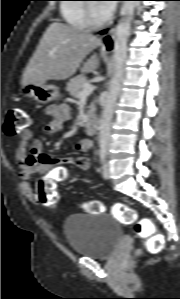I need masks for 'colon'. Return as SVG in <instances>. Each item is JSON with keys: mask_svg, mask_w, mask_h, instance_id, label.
I'll list each match as a JSON object with an SVG mask.
<instances>
[{"mask_svg": "<svg viewBox=\"0 0 180 299\" xmlns=\"http://www.w3.org/2000/svg\"><path fill=\"white\" fill-rule=\"evenodd\" d=\"M29 125V115L22 108H12L8 111L4 124V131L9 136H15ZM38 202L47 208H54L59 201L57 185L53 181H46L38 188ZM83 209L91 214L101 213L103 206L97 201L83 203ZM113 213L123 224L134 225L137 235L146 242L147 250L159 253L164 248V236L149 218L138 219L136 210L118 202L113 206ZM139 251H137V254Z\"/></svg>", "mask_w": 180, "mask_h": 299, "instance_id": "1", "label": "colon"}]
</instances>
